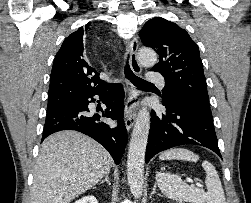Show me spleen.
I'll list each match as a JSON object with an SVG mask.
<instances>
[{"instance_id": "1", "label": "spleen", "mask_w": 251, "mask_h": 203, "mask_svg": "<svg viewBox=\"0 0 251 203\" xmlns=\"http://www.w3.org/2000/svg\"><path fill=\"white\" fill-rule=\"evenodd\" d=\"M160 160H187L197 162L199 156L185 148H173L164 151ZM206 172L205 184L207 192L186 184L178 175L170 173H156V182L161 192L169 199L191 203H226L224 191L215 167L208 161L202 163Z\"/></svg>"}]
</instances>
